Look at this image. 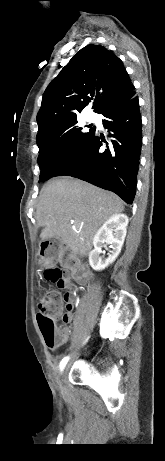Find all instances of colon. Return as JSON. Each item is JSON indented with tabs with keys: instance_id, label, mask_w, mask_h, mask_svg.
I'll return each mask as SVG.
<instances>
[{
	"instance_id": "obj_1",
	"label": "colon",
	"mask_w": 165,
	"mask_h": 461,
	"mask_svg": "<svg viewBox=\"0 0 165 461\" xmlns=\"http://www.w3.org/2000/svg\"><path fill=\"white\" fill-rule=\"evenodd\" d=\"M41 258L45 266V278L56 285L57 290H52L44 295L38 304L37 321L41 329L44 341L50 348H54L59 341V333L56 328V318L61 313H67L69 309L63 308L61 292L67 288V281L62 279L61 269L54 265L56 259L55 243L46 240L41 244Z\"/></svg>"
}]
</instances>
